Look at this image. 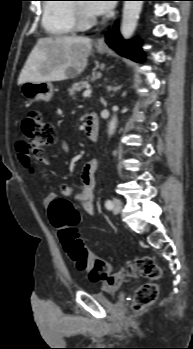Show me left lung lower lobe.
Listing matches in <instances>:
<instances>
[{
  "mask_svg": "<svg viewBox=\"0 0 193 349\" xmlns=\"http://www.w3.org/2000/svg\"><path fill=\"white\" fill-rule=\"evenodd\" d=\"M144 1H153V0H144ZM107 44L112 47L119 54L130 58L137 62H142L144 60V54L140 48V45L137 41L128 42L123 41L119 35L117 24H115L113 29V34L108 33L106 36Z\"/></svg>",
  "mask_w": 193,
  "mask_h": 349,
  "instance_id": "1",
  "label": "left lung lower lobe"
}]
</instances>
